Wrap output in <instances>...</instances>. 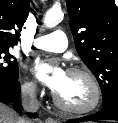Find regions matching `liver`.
Listing matches in <instances>:
<instances>
[{
	"label": "liver",
	"mask_w": 118,
	"mask_h": 123,
	"mask_svg": "<svg viewBox=\"0 0 118 123\" xmlns=\"http://www.w3.org/2000/svg\"><path fill=\"white\" fill-rule=\"evenodd\" d=\"M19 119L13 109L0 103V123H18Z\"/></svg>",
	"instance_id": "obj_1"
}]
</instances>
